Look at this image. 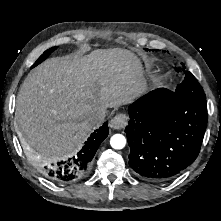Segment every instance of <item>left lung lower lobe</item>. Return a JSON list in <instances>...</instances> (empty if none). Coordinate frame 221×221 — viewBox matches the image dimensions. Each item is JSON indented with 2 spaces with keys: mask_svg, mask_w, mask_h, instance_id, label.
<instances>
[{
  "mask_svg": "<svg viewBox=\"0 0 221 221\" xmlns=\"http://www.w3.org/2000/svg\"><path fill=\"white\" fill-rule=\"evenodd\" d=\"M128 112L129 165L138 177L168 181L197 158L207 127L206 100L159 88L131 104Z\"/></svg>",
  "mask_w": 221,
  "mask_h": 221,
  "instance_id": "1",
  "label": "left lung lower lobe"
}]
</instances>
